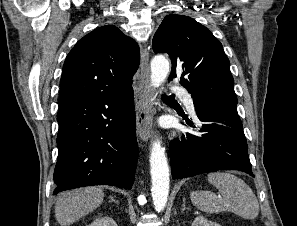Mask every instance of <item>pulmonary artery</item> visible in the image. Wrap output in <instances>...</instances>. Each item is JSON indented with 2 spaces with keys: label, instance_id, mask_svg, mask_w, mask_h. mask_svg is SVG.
<instances>
[{
  "label": "pulmonary artery",
  "instance_id": "e3ab8cb5",
  "mask_svg": "<svg viewBox=\"0 0 297 226\" xmlns=\"http://www.w3.org/2000/svg\"><path fill=\"white\" fill-rule=\"evenodd\" d=\"M173 90L176 96L181 98L184 101V103L189 108L190 112L194 115L193 100L190 97V94L188 93V91L182 87H174Z\"/></svg>",
  "mask_w": 297,
  "mask_h": 226
}]
</instances>
